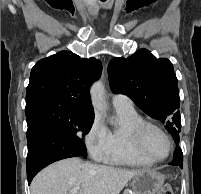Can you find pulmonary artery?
I'll return each mask as SVG.
<instances>
[{
    "label": "pulmonary artery",
    "instance_id": "obj_1",
    "mask_svg": "<svg viewBox=\"0 0 201 194\" xmlns=\"http://www.w3.org/2000/svg\"><path fill=\"white\" fill-rule=\"evenodd\" d=\"M112 102L115 107H127V108L133 107L131 99L123 94L113 95Z\"/></svg>",
    "mask_w": 201,
    "mask_h": 194
}]
</instances>
